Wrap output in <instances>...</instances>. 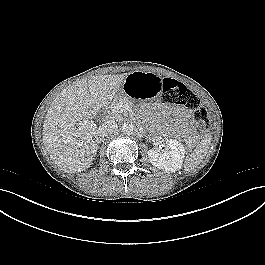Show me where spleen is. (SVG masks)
I'll return each mask as SVG.
<instances>
[{
  "label": "spleen",
  "mask_w": 265,
  "mask_h": 265,
  "mask_svg": "<svg viewBox=\"0 0 265 265\" xmlns=\"http://www.w3.org/2000/svg\"><path fill=\"white\" fill-rule=\"evenodd\" d=\"M211 141V135L207 134L194 151L186 157L184 167L186 170H192L197 167L206 156Z\"/></svg>",
  "instance_id": "spleen-1"
}]
</instances>
